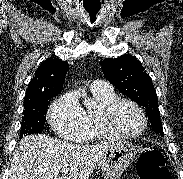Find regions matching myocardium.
<instances>
[{"mask_svg": "<svg viewBox=\"0 0 183 179\" xmlns=\"http://www.w3.org/2000/svg\"><path fill=\"white\" fill-rule=\"evenodd\" d=\"M123 104L132 105L134 108L137 109V111L140 113L142 117L143 122L142 126L138 131L134 133L130 134L121 133L114 126L115 114ZM98 123L103 133L108 137L119 138V139H132L138 137L146 130L148 126V119L144 109L140 104L129 98L118 97L100 109L98 114Z\"/></svg>", "mask_w": 183, "mask_h": 179, "instance_id": "myocardium-1", "label": "myocardium"}]
</instances>
